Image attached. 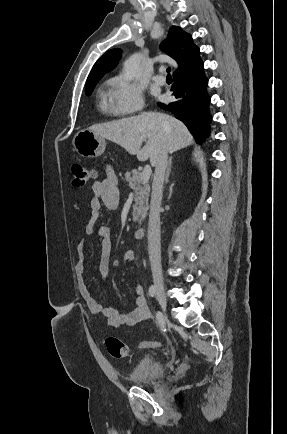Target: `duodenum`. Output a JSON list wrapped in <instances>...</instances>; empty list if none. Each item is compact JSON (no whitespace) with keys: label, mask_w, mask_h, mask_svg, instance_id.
I'll use <instances>...</instances> for the list:
<instances>
[{"label":"duodenum","mask_w":287,"mask_h":434,"mask_svg":"<svg viewBox=\"0 0 287 434\" xmlns=\"http://www.w3.org/2000/svg\"><path fill=\"white\" fill-rule=\"evenodd\" d=\"M144 234H145V228H144V226H140L135 231L134 238L135 239H142L144 237Z\"/></svg>","instance_id":"duodenum-1"}]
</instances>
